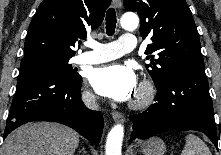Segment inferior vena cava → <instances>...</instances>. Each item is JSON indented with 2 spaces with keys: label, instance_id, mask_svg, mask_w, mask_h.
<instances>
[{
  "label": "inferior vena cava",
  "instance_id": "602c4592",
  "mask_svg": "<svg viewBox=\"0 0 221 155\" xmlns=\"http://www.w3.org/2000/svg\"><path fill=\"white\" fill-rule=\"evenodd\" d=\"M84 103L92 109H99V105L96 102L95 96L89 92L85 93L82 97Z\"/></svg>",
  "mask_w": 221,
  "mask_h": 155
}]
</instances>
